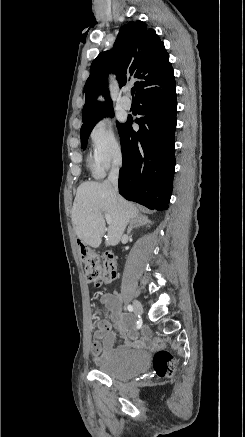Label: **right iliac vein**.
I'll use <instances>...</instances> for the list:
<instances>
[{"label":"right iliac vein","instance_id":"obj_1","mask_svg":"<svg viewBox=\"0 0 245 437\" xmlns=\"http://www.w3.org/2000/svg\"><path fill=\"white\" fill-rule=\"evenodd\" d=\"M133 307H134L136 314L141 315L143 313L142 304L138 300H134Z\"/></svg>","mask_w":245,"mask_h":437}]
</instances>
